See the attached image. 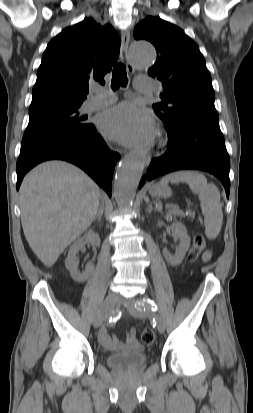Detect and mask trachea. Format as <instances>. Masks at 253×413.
Listing matches in <instances>:
<instances>
[{"mask_svg": "<svg viewBox=\"0 0 253 413\" xmlns=\"http://www.w3.org/2000/svg\"><path fill=\"white\" fill-rule=\"evenodd\" d=\"M128 84V78L126 73V67L123 63H117L114 66L112 72V84L113 90H117L120 86L126 87Z\"/></svg>", "mask_w": 253, "mask_h": 413, "instance_id": "3493384b", "label": "trachea"}]
</instances>
